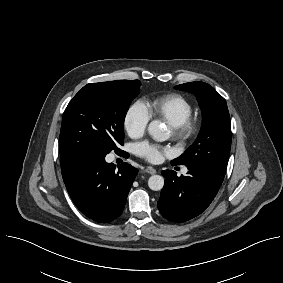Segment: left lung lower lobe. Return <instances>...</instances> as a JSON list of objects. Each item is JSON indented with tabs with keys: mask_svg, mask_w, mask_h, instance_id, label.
<instances>
[{
	"mask_svg": "<svg viewBox=\"0 0 283 283\" xmlns=\"http://www.w3.org/2000/svg\"><path fill=\"white\" fill-rule=\"evenodd\" d=\"M187 168L188 175L180 177L173 170L162 171L165 184L157 204L162 216L172 222L182 223L201 214L223 182L204 171Z\"/></svg>",
	"mask_w": 283,
	"mask_h": 283,
	"instance_id": "obj_1",
	"label": "left lung lower lobe"
}]
</instances>
